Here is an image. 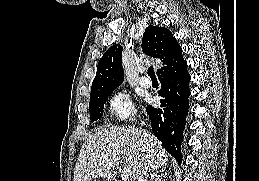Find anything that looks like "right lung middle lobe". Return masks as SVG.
<instances>
[{"instance_id": "right-lung-middle-lobe-1", "label": "right lung middle lobe", "mask_w": 259, "mask_h": 181, "mask_svg": "<svg viewBox=\"0 0 259 181\" xmlns=\"http://www.w3.org/2000/svg\"><path fill=\"white\" fill-rule=\"evenodd\" d=\"M113 91L99 94L90 98V118L91 122L100 119L103 115L104 104L107 101V97L112 94Z\"/></svg>"}]
</instances>
